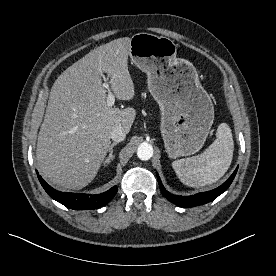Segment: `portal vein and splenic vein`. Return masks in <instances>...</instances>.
Listing matches in <instances>:
<instances>
[{"label": "portal vein and splenic vein", "instance_id": "1", "mask_svg": "<svg viewBox=\"0 0 276 276\" xmlns=\"http://www.w3.org/2000/svg\"><path fill=\"white\" fill-rule=\"evenodd\" d=\"M103 87H104L105 89H107V91H108L107 105H108L109 107H112V106L114 105V103H115V96H114V94L110 91V89H109V84H108V83H104V84H103Z\"/></svg>", "mask_w": 276, "mask_h": 276}]
</instances>
